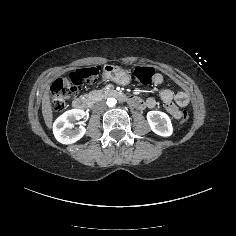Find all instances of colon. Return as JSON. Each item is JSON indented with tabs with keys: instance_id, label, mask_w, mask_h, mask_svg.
<instances>
[{
	"instance_id": "1",
	"label": "colon",
	"mask_w": 236,
	"mask_h": 236,
	"mask_svg": "<svg viewBox=\"0 0 236 236\" xmlns=\"http://www.w3.org/2000/svg\"><path fill=\"white\" fill-rule=\"evenodd\" d=\"M101 68L98 66L90 68H82L69 74L67 77L56 79L51 87V104L55 111H63L69 99H71L78 91V87L83 82H95L100 74ZM155 72L150 67H139L134 71V77L142 84H148L153 81ZM182 123L189 119L187 112H183L179 117Z\"/></svg>"
}]
</instances>
